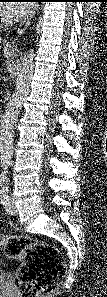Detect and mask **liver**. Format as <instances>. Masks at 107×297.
<instances>
[{
  "mask_svg": "<svg viewBox=\"0 0 107 297\" xmlns=\"http://www.w3.org/2000/svg\"><path fill=\"white\" fill-rule=\"evenodd\" d=\"M3 52L7 56H12L16 53V50L14 48H12L11 46H9V47H4Z\"/></svg>",
  "mask_w": 107,
  "mask_h": 297,
  "instance_id": "liver-1",
  "label": "liver"
}]
</instances>
